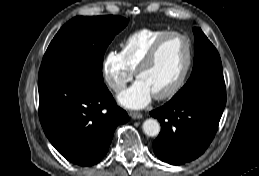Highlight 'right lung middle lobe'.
I'll return each mask as SVG.
<instances>
[{"instance_id": "dd1d6c3e", "label": "right lung middle lobe", "mask_w": 259, "mask_h": 176, "mask_svg": "<svg viewBox=\"0 0 259 176\" xmlns=\"http://www.w3.org/2000/svg\"><path fill=\"white\" fill-rule=\"evenodd\" d=\"M127 23V19L113 15L71 19L48 46L39 78L70 71L103 81L105 50Z\"/></svg>"}]
</instances>
